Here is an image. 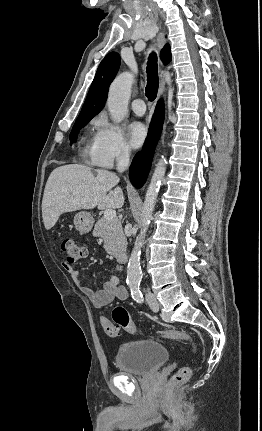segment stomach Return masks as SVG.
<instances>
[{
	"mask_svg": "<svg viewBox=\"0 0 262 431\" xmlns=\"http://www.w3.org/2000/svg\"><path fill=\"white\" fill-rule=\"evenodd\" d=\"M94 219L89 212L81 211L74 216L75 228L83 234L89 233L93 227Z\"/></svg>",
	"mask_w": 262,
	"mask_h": 431,
	"instance_id": "obj_1",
	"label": "stomach"
}]
</instances>
